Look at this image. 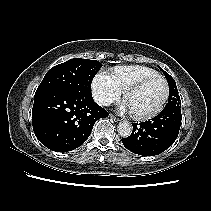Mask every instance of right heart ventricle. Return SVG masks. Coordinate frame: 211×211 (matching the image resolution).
Instances as JSON below:
<instances>
[{
	"label": "right heart ventricle",
	"instance_id": "e07e8e85",
	"mask_svg": "<svg viewBox=\"0 0 211 211\" xmlns=\"http://www.w3.org/2000/svg\"><path fill=\"white\" fill-rule=\"evenodd\" d=\"M111 74L122 91L143 78L160 75L156 70L143 65L117 66Z\"/></svg>",
	"mask_w": 211,
	"mask_h": 211
}]
</instances>
